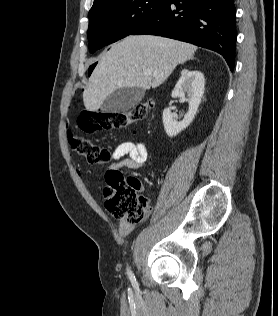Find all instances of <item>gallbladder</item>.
Wrapping results in <instances>:
<instances>
[{"label":"gallbladder","instance_id":"gallbladder-1","mask_svg":"<svg viewBox=\"0 0 278 316\" xmlns=\"http://www.w3.org/2000/svg\"><path fill=\"white\" fill-rule=\"evenodd\" d=\"M145 91L138 87H124L115 90L102 103L101 110L106 113L127 112L143 99Z\"/></svg>","mask_w":278,"mask_h":316}]
</instances>
